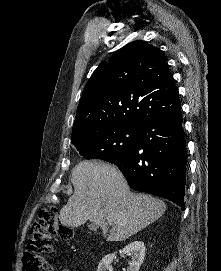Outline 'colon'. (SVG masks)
<instances>
[{"mask_svg":"<svg viewBox=\"0 0 221 271\" xmlns=\"http://www.w3.org/2000/svg\"><path fill=\"white\" fill-rule=\"evenodd\" d=\"M57 235L70 238L73 230L62 224L55 206H46L34 221L32 236L22 250V271H52V264L45 253L52 250V239Z\"/></svg>","mask_w":221,"mask_h":271,"instance_id":"obj_1","label":"colon"}]
</instances>
